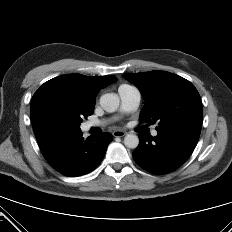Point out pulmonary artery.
Wrapping results in <instances>:
<instances>
[{
    "label": "pulmonary artery",
    "instance_id": "1",
    "mask_svg": "<svg viewBox=\"0 0 232 232\" xmlns=\"http://www.w3.org/2000/svg\"><path fill=\"white\" fill-rule=\"evenodd\" d=\"M121 99V110L123 112H132L136 110L140 104L141 93L140 91L132 86H122L118 90ZM107 124V121H88L83 125L84 130H89L93 127L102 126ZM158 132L152 131V135L156 136Z\"/></svg>",
    "mask_w": 232,
    "mask_h": 232
}]
</instances>
